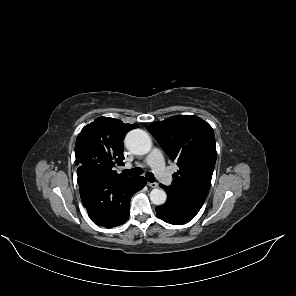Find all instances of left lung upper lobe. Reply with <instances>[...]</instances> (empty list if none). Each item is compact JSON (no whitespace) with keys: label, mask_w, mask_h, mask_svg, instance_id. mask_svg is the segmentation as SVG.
<instances>
[{"label":"left lung upper lobe","mask_w":296,"mask_h":296,"mask_svg":"<svg viewBox=\"0 0 296 296\" xmlns=\"http://www.w3.org/2000/svg\"><path fill=\"white\" fill-rule=\"evenodd\" d=\"M147 128L179 166L167 187L177 193L207 196L217 156L212 127L197 116L183 115Z\"/></svg>","instance_id":"5c2ea615"}]
</instances>
